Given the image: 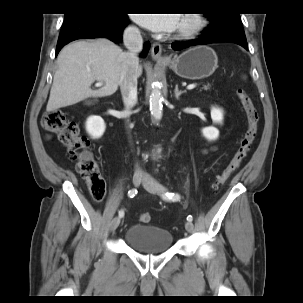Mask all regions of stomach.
I'll return each mask as SVG.
<instances>
[{"mask_svg": "<svg viewBox=\"0 0 303 303\" xmlns=\"http://www.w3.org/2000/svg\"><path fill=\"white\" fill-rule=\"evenodd\" d=\"M167 64L179 77L198 80L214 73L218 67V58L212 48L201 45L186 50Z\"/></svg>", "mask_w": 303, "mask_h": 303, "instance_id": "1", "label": "stomach"}]
</instances>
